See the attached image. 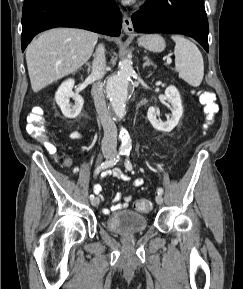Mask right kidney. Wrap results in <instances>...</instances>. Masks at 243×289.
I'll use <instances>...</instances> for the list:
<instances>
[{
	"label": "right kidney",
	"instance_id": "obj_1",
	"mask_svg": "<svg viewBox=\"0 0 243 289\" xmlns=\"http://www.w3.org/2000/svg\"><path fill=\"white\" fill-rule=\"evenodd\" d=\"M74 83V79L64 81L55 94V101L60 107L62 114L66 118L71 119L76 118L80 114L84 104L83 98L72 91ZM70 98H73L75 101L73 106L69 104Z\"/></svg>",
	"mask_w": 243,
	"mask_h": 289
}]
</instances>
